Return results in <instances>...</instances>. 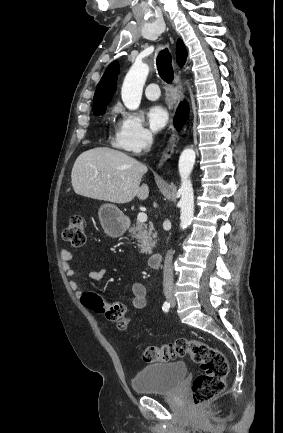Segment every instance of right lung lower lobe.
Returning <instances> with one entry per match:
<instances>
[{
  "mask_svg": "<svg viewBox=\"0 0 283 433\" xmlns=\"http://www.w3.org/2000/svg\"><path fill=\"white\" fill-rule=\"evenodd\" d=\"M188 110H189L188 105L185 101L179 105L177 112H176L175 120H174L175 121V127L177 129H180V127L183 125V123L187 119Z\"/></svg>",
  "mask_w": 283,
  "mask_h": 433,
  "instance_id": "right-lung-lower-lobe-1",
  "label": "right lung lower lobe"
}]
</instances>
